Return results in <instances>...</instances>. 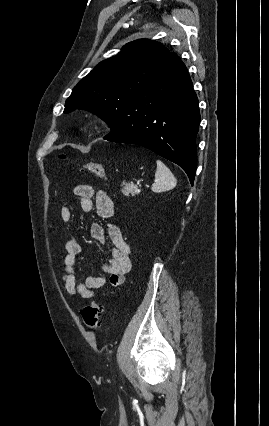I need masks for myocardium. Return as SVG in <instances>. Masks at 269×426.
Returning <instances> with one entry per match:
<instances>
[{"instance_id": "1", "label": "myocardium", "mask_w": 269, "mask_h": 426, "mask_svg": "<svg viewBox=\"0 0 269 426\" xmlns=\"http://www.w3.org/2000/svg\"><path fill=\"white\" fill-rule=\"evenodd\" d=\"M99 125V121L97 119H90L87 123L88 128H97Z\"/></svg>"}]
</instances>
